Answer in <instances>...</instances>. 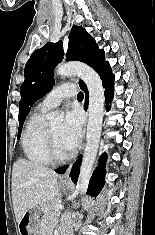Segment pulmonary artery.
Returning <instances> with one entry per match:
<instances>
[{
  "label": "pulmonary artery",
  "instance_id": "e3ab8cb5",
  "mask_svg": "<svg viewBox=\"0 0 155 235\" xmlns=\"http://www.w3.org/2000/svg\"><path fill=\"white\" fill-rule=\"evenodd\" d=\"M76 95V86L71 83L63 84L56 87L39 104V108L48 111L57 107L64 99Z\"/></svg>",
  "mask_w": 155,
  "mask_h": 235
}]
</instances>
